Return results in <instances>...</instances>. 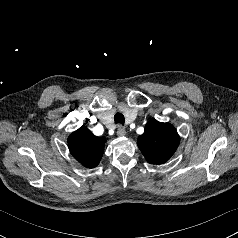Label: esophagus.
I'll list each match as a JSON object with an SVG mask.
<instances>
[{
	"label": "esophagus",
	"instance_id": "obj_1",
	"mask_svg": "<svg viewBox=\"0 0 238 238\" xmlns=\"http://www.w3.org/2000/svg\"><path fill=\"white\" fill-rule=\"evenodd\" d=\"M117 135L119 137H122V136L126 135V130H125V128L123 126H121V125L117 126Z\"/></svg>",
	"mask_w": 238,
	"mask_h": 238
}]
</instances>
